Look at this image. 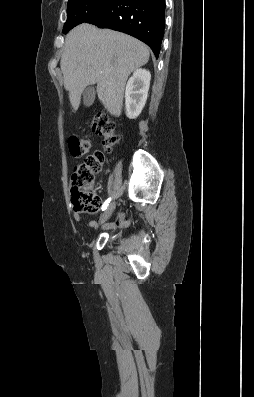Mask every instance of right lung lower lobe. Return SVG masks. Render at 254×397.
I'll return each mask as SVG.
<instances>
[{"instance_id": "1", "label": "right lung lower lobe", "mask_w": 254, "mask_h": 397, "mask_svg": "<svg viewBox=\"0 0 254 397\" xmlns=\"http://www.w3.org/2000/svg\"><path fill=\"white\" fill-rule=\"evenodd\" d=\"M165 0H111L85 21L129 34L146 43L159 56L165 28Z\"/></svg>"}]
</instances>
